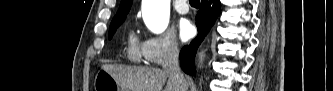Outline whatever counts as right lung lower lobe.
<instances>
[{
	"mask_svg": "<svg viewBox=\"0 0 333 91\" xmlns=\"http://www.w3.org/2000/svg\"><path fill=\"white\" fill-rule=\"evenodd\" d=\"M221 4L219 0H202L196 15L197 37L180 52L181 67L187 74L195 75L194 58L198 46L219 16Z\"/></svg>",
	"mask_w": 333,
	"mask_h": 91,
	"instance_id": "obj_1",
	"label": "right lung lower lobe"
}]
</instances>
